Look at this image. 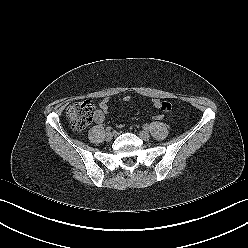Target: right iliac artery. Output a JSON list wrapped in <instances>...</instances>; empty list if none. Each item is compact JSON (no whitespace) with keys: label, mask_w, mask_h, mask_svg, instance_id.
I'll return each instance as SVG.
<instances>
[{"label":"right iliac artery","mask_w":248,"mask_h":248,"mask_svg":"<svg viewBox=\"0 0 248 248\" xmlns=\"http://www.w3.org/2000/svg\"><path fill=\"white\" fill-rule=\"evenodd\" d=\"M111 130H112V127H110V126L106 127L107 132H110Z\"/></svg>","instance_id":"obj_1"}]
</instances>
